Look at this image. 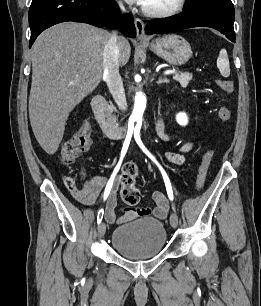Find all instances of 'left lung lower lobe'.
<instances>
[{"label": "left lung lower lobe", "mask_w": 261, "mask_h": 306, "mask_svg": "<svg viewBox=\"0 0 261 306\" xmlns=\"http://www.w3.org/2000/svg\"><path fill=\"white\" fill-rule=\"evenodd\" d=\"M235 11L230 1L204 3L185 8L176 16L153 19L146 25L147 34H164L192 27H210L235 42L233 23Z\"/></svg>", "instance_id": "0a47b994"}]
</instances>
